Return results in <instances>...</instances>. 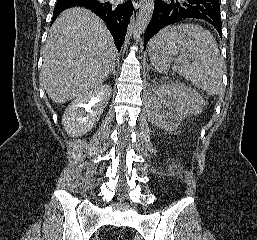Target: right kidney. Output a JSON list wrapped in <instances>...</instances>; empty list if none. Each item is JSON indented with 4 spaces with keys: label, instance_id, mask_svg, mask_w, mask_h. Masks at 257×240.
<instances>
[{
    "label": "right kidney",
    "instance_id": "obj_1",
    "mask_svg": "<svg viewBox=\"0 0 257 240\" xmlns=\"http://www.w3.org/2000/svg\"><path fill=\"white\" fill-rule=\"evenodd\" d=\"M112 88L101 85L73 100L66 108L62 124L69 136L79 137L90 131L108 104Z\"/></svg>",
    "mask_w": 257,
    "mask_h": 240
}]
</instances>
